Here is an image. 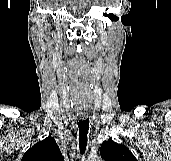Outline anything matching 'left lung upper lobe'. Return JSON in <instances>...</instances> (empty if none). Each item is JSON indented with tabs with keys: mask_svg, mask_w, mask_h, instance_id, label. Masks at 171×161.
<instances>
[{
	"mask_svg": "<svg viewBox=\"0 0 171 161\" xmlns=\"http://www.w3.org/2000/svg\"><path fill=\"white\" fill-rule=\"evenodd\" d=\"M100 155L105 161H137L126 146L118 144L112 139L102 143Z\"/></svg>",
	"mask_w": 171,
	"mask_h": 161,
	"instance_id": "obj_1",
	"label": "left lung upper lobe"
}]
</instances>
